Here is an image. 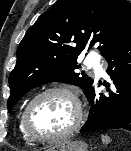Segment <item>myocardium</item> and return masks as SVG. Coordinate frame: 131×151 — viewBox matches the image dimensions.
<instances>
[{
  "label": "myocardium",
  "mask_w": 131,
  "mask_h": 151,
  "mask_svg": "<svg viewBox=\"0 0 131 151\" xmlns=\"http://www.w3.org/2000/svg\"><path fill=\"white\" fill-rule=\"evenodd\" d=\"M51 94H61L67 97L73 104L74 117L71 124L68 126V128H66L61 133L53 135V136H37L29 128V124H28L29 112L31 108L33 107V105L39 99L47 95H51ZM82 120H83V106H82L81 100L79 99L78 95L73 90H71L70 88L66 86H51V87L41 90L30 99V101L25 106L22 116H21V124H22L23 132L25 133L28 139H30L33 142H38V143L58 142L67 138L79 128V126L82 123Z\"/></svg>",
  "instance_id": "obj_1"
}]
</instances>
